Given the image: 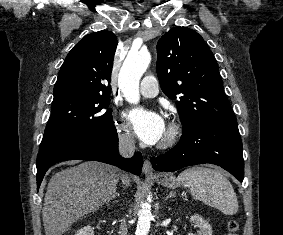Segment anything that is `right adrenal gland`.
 <instances>
[{"instance_id": "obj_1", "label": "right adrenal gland", "mask_w": 283, "mask_h": 235, "mask_svg": "<svg viewBox=\"0 0 283 235\" xmlns=\"http://www.w3.org/2000/svg\"><path fill=\"white\" fill-rule=\"evenodd\" d=\"M119 196H120V194H119V192H117L116 191V189L113 191V194H112V196L109 198V202L111 201V200H113V199H115V198H119Z\"/></svg>"}]
</instances>
